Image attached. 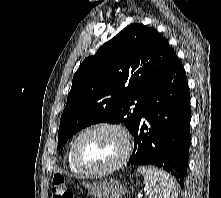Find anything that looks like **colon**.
<instances>
[{
	"mask_svg": "<svg viewBox=\"0 0 221 198\" xmlns=\"http://www.w3.org/2000/svg\"><path fill=\"white\" fill-rule=\"evenodd\" d=\"M53 198H74L71 188L67 185L63 177H56L54 179V186L52 190Z\"/></svg>",
	"mask_w": 221,
	"mask_h": 198,
	"instance_id": "colon-1",
	"label": "colon"
}]
</instances>
